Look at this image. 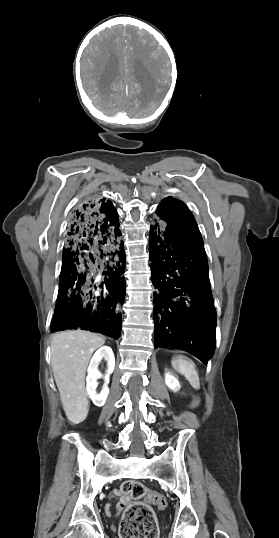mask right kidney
Listing matches in <instances>:
<instances>
[{"label":"right kidney","instance_id":"obj_1","mask_svg":"<svg viewBox=\"0 0 279 538\" xmlns=\"http://www.w3.org/2000/svg\"><path fill=\"white\" fill-rule=\"evenodd\" d=\"M103 358L104 360H107L108 370H107V374L103 376L105 384L104 386H102V390L100 394H98V392H96V388L98 386L97 380H99V378H102V374L101 372H99L98 366H99V362H101ZM114 368H115V358H114V354L111 348H109V346H102V348H99V350L95 352L90 362V366L88 368V376L86 378L87 392L93 404H95V406H99V408L100 406H104L107 400V396L109 394V388L107 384H109V376L110 374H112V372H114Z\"/></svg>","mask_w":279,"mask_h":538}]
</instances>
